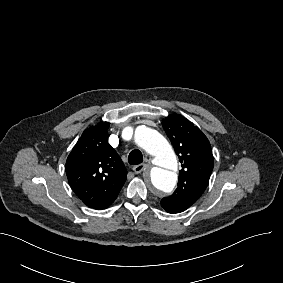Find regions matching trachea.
<instances>
[{"label":"trachea","instance_id":"1","mask_svg":"<svg viewBox=\"0 0 283 283\" xmlns=\"http://www.w3.org/2000/svg\"><path fill=\"white\" fill-rule=\"evenodd\" d=\"M128 162L130 165H139L143 162V155L140 150L135 149L129 153Z\"/></svg>","mask_w":283,"mask_h":283}]
</instances>
